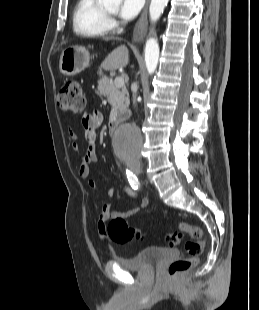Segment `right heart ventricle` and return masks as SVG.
Returning a JSON list of instances; mask_svg holds the SVG:
<instances>
[{
  "mask_svg": "<svg viewBox=\"0 0 259 310\" xmlns=\"http://www.w3.org/2000/svg\"><path fill=\"white\" fill-rule=\"evenodd\" d=\"M73 27L77 34L97 37L110 30L109 19L98 0H78L73 14Z\"/></svg>",
  "mask_w": 259,
  "mask_h": 310,
  "instance_id": "obj_1",
  "label": "right heart ventricle"
}]
</instances>
